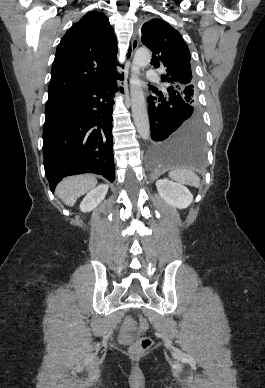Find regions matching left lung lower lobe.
Returning a JSON list of instances; mask_svg holds the SVG:
<instances>
[{"instance_id": "obj_1", "label": "left lung lower lobe", "mask_w": 265, "mask_h": 388, "mask_svg": "<svg viewBox=\"0 0 265 388\" xmlns=\"http://www.w3.org/2000/svg\"><path fill=\"white\" fill-rule=\"evenodd\" d=\"M167 88V94L150 96L149 118L153 167H185L200 170L205 163V133L198 108L190 106ZM175 93V94H174ZM151 99V100H150Z\"/></svg>"}]
</instances>
